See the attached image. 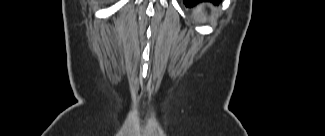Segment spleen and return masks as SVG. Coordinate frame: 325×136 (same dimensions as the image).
<instances>
[{
  "label": "spleen",
  "mask_w": 325,
  "mask_h": 136,
  "mask_svg": "<svg viewBox=\"0 0 325 136\" xmlns=\"http://www.w3.org/2000/svg\"><path fill=\"white\" fill-rule=\"evenodd\" d=\"M193 17L196 22L199 23H205L207 21V17L203 11V7L200 5L198 6L194 12H193Z\"/></svg>",
  "instance_id": "spleen-1"
}]
</instances>
